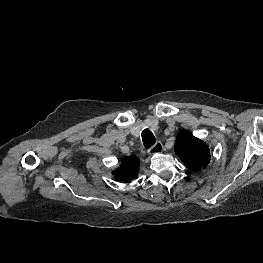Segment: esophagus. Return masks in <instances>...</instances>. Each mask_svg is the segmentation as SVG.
Here are the masks:
<instances>
[{
  "label": "esophagus",
  "instance_id": "34e87169",
  "mask_svg": "<svg viewBox=\"0 0 263 263\" xmlns=\"http://www.w3.org/2000/svg\"><path fill=\"white\" fill-rule=\"evenodd\" d=\"M162 150H163V145L160 141H158L155 145H153L149 149L148 153H149V155H155V154L162 152Z\"/></svg>",
  "mask_w": 263,
  "mask_h": 263
}]
</instances>
